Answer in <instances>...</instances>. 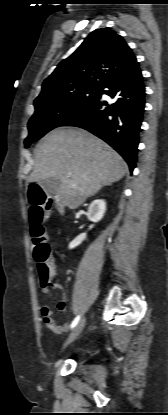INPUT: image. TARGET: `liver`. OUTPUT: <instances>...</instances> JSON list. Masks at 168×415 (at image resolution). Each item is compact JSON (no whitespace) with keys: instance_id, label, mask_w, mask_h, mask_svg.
<instances>
[{"instance_id":"obj_1","label":"liver","mask_w":168,"mask_h":415,"mask_svg":"<svg viewBox=\"0 0 168 415\" xmlns=\"http://www.w3.org/2000/svg\"><path fill=\"white\" fill-rule=\"evenodd\" d=\"M127 171L123 158L101 139L81 128L59 127L37 146L28 181L60 179L57 201L76 209L103 186L122 179Z\"/></svg>"}]
</instances>
